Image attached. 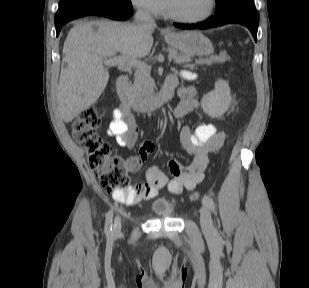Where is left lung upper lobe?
Listing matches in <instances>:
<instances>
[{"label": "left lung upper lobe", "mask_w": 309, "mask_h": 288, "mask_svg": "<svg viewBox=\"0 0 309 288\" xmlns=\"http://www.w3.org/2000/svg\"><path fill=\"white\" fill-rule=\"evenodd\" d=\"M242 0H216V13L225 10L234 3Z\"/></svg>", "instance_id": "obj_1"}]
</instances>
